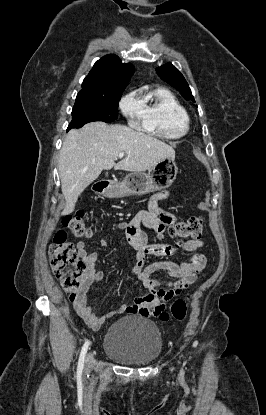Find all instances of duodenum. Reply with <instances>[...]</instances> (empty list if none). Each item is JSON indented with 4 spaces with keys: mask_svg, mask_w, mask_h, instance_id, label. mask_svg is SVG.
Listing matches in <instances>:
<instances>
[{
    "mask_svg": "<svg viewBox=\"0 0 266 415\" xmlns=\"http://www.w3.org/2000/svg\"><path fill=\"white\" fill-rule=\"evenodd\" d=\"M109 187V182L108 181H100L97 182L94 186V191L98 194H103L106 192V190Z\"/></svg>",
    "mask_w": 266,
    "mask_h": 415,
    "instance_id": "obj_1",
    "label": "duodenum"
}]
</instances>
